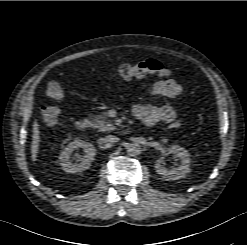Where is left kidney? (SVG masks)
Masks as SVG:
<instances>
[{
  "instance_id": "left-kidney-1",
  "label": "left kidney",
  "mask_w": 247,
  "mask_h": 245,
  "mask_svg": "<svg viewBox=\"0 0 247 245\" xmlns=\"http://www.w3.org/2000/svg\"><path fill=\"white\" fill-rule=\"evenodd\" d=\"M168 154H174L181 160L180 166L168 170L162 163V158L156 160L155 169L156 172L161 175L164 179L168 181L179 180L185 178L186 175L190 172V155L186 149L178 145H173L167 150Z\"/></svg>"
}]
</instances>
